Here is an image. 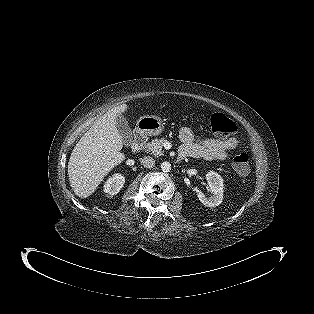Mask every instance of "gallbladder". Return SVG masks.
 Here are the masks:
<instances>
[{
  "mask_svg": "<svg viewBox=\"0 0 314 314\" xmlns=\"http://www.w3.org/2000/svg\"><path fill=\"white\" fill-rule=\"evenodd\" d=\"M116 123L123 144L129 146L132 143L133 136L132 131L128 125V121L123 115H118L116 118Z\"/></svg>",
  "mask_w": 314,
  "mask_h": 314,
  "instance_id": "1",
  "label": "gallbladder"
}]
</instances>
